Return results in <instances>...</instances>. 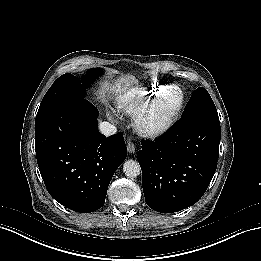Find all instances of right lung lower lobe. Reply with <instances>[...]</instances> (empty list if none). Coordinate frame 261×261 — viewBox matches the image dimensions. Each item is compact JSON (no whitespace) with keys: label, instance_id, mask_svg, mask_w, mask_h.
Masks as SVG:
<instances>
[{"label":"right lung lower lobe","instance_id":"98d812e1","mask_svg":"<svg viewBox=\"0 0 261 261\" xmlns=\"http://www.w3.org/2000/svg\"><path fill=\"white\" fill-rule=\"evenodd\" d=\"M98 110L72 97L35 121V148L50 195L81 213L105 203L113 174L127 156L121 132L106 138L97 129Z\"/></svg>","mask_w":261,"mask_h":261}]
</instances>
